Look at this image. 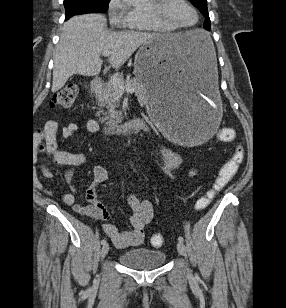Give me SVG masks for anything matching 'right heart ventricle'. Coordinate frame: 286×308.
Listing matches in <instances>:
<instances>
[{
	"label": "right heart ventricle",
	"instance_id": "obj_1",
	"mask_svg": "<svg viewBox=\"0 0 286 308\" xmlns=\"http://www.w3.org/2000/svg\"><path fill=\"white\" fill-rule=\"evenodd\" d=\"M132 31L136 32H153V33H170L176 29L165 24L159 23L149 16L147 11L135 10L134 21L130 26Z\"/></svg>",
	"mask_w": 286,
	"mask_h": 308
}]
</instances>
